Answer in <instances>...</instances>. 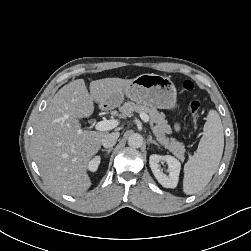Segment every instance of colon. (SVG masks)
I'll use <instances>...</instances> for the list:
<instances>
[{"label": "colon", "mask_w": 251, "mask_h": 251, "mask_svg": "<svg viewBox=\"0 0 251 251\" xmlns=\"http://www.w3.org/2000/svg\"><path fill=\"white\" fill-rule=\"evenodd\" d=\"M186 91H193L194 84L190 80H185L180 83ZM192 120L195 125L198 124L200 118V103L198 100H192L189 106Z\"/></svg>", "instance_id": "1"}]
</instances>
